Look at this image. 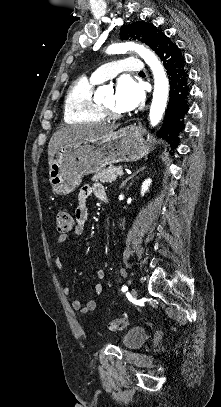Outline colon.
Segmentation results:
<instances>
[{
    "instance_id": "1",
    "label": "colon",
    "mask_w": 221,
    "mask_h": 407,
    "mask_svg": "<svg viewBox=\"0 0 221 407\" xmlns=\"http://www.w3.org/2000/svg\"><path fill=\"white\" fill-rule=\"evenodd\" d=\"M73 227V219L68 212L60 211L56 217V230L61 234L68 233ZM128 321L126 316L118 317L107 324V330L114 332L126 327Z\"/></svg>"
}]
</instances>
